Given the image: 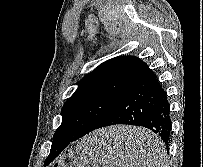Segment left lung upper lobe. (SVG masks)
I'll list each match as a JSON object with an SVG mask.
<instances>
[{"mask_svg": "<svg viewBox=\"0 0 203 167\" xmlns=\"http://www.w3.org/2000/svg\"><path fill=\"white\" fill-rule=\"evenodd\" d=\"M145 65L138 57L118 56L84 76L77 90L63 105L62 123L52 144L57 139L84 136L97 129Z\"/></svg>", "mask_w": 203, "mask_h": 167, "instance_id": "1", "label": "left lung upper lobe"}]
</instances>
